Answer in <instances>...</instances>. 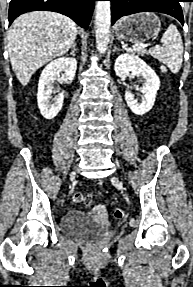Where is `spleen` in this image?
<instances>
[{
	"instance_id": "1",
	"label": "spleen",
	"mask_w": 193,
	"mask_h": 287,
	"mask_svg": "<svg viewBox=\"0 0 193 287\" xmlns=\"http://www.w3.org/2000/svg\"><path fill=\"white\" fill-rule=\"evenodd\" d=\"M162 47H153L150 54L167 65L172 73H178L183 61V41L177 27L171 24L161 38Z\"/></svg>"
}]
</instances>
